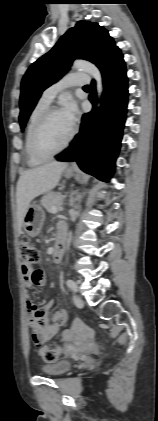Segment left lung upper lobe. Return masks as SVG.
Listing matches in <instances>:
<instances>
[{
    "mask_svg": "<svg viewBox=\"0 0 158 421\" xmlns=\"http://www.w3.org/2000/svg\"><path fill=\"white\" fill-rule=\"evenodd\" d=\"M117 48L102 26L89 21L77 22L25 73L21 82V128L25 127L41 93L68 71L74 59L88 60L100 68Z\"/></svg>",
    "mask_w": 158,
    "mask_h": 421,
    "instance_id": "obj_1",
    "label": "left lung upper lobe"
}]
</instances>
